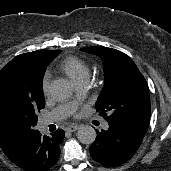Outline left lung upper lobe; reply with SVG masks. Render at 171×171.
I'll return each mask as SVG.
<instances>
[{
    "label": "left lung upper lobe",
    "instance_id": "1",
    "mask_svg": "<svg viewBox=\"0 0 171 171\" xmlns=\"http://www.w3.org/2000/svg\"><path fill=\"white\" fill-rule=\"evenodd\" d=\"M84 52L101 57L105 85L96 109L108 123L126 125L146 133L150 120V95L147 82L132 59L107 47H85Z\"/></svg>",
    "mask_w": 171,
    "mask_h": 171
}]
</instances>
